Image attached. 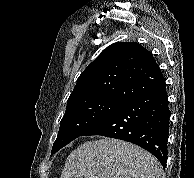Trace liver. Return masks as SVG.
Segmentation results:
<instances>
[{
	"label": "liver",
	"instance_id": "1",
	"mask_svg": "<svg viewBox=\"0 0 194 178\" xmlns=\"http://www.w3.org/2000/svg\"><path fill=\"white\" fill-rule=\"evenodd\" d=\"M159 161L129 142L86 141L67 157L60 178H162Z\"/></svg>",
	"mask_w": 194,
	"mask_h": 178
}]
</instances>
